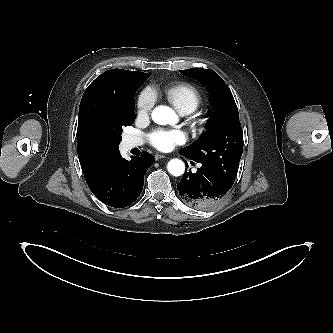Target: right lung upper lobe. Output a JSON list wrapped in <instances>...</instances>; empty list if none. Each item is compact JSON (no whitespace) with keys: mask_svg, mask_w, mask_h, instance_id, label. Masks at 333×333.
Here are the masks:
<instances>
[{"mask_svg":"<svg viewBox=\"0 0 333 333\" xmlns=\"http://www.w3.org/2000/svg\"><path fill=\"white\" fill-rule=\"evenodd\" d=\"M146 73L112 69L97 77L85 90L79 107L77 151L86 183L92 191L106 176L119 150L105 148L100 136L107 120V106L124 101Z\"/></svg>","mask_w":333,"mask_h":333,"instance_id":"obj_1","label":"right lung upper lobe"}]
</instances>
